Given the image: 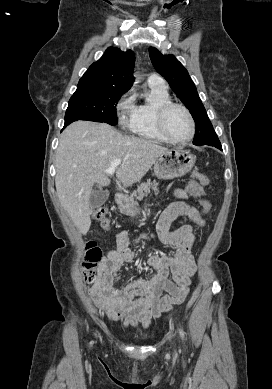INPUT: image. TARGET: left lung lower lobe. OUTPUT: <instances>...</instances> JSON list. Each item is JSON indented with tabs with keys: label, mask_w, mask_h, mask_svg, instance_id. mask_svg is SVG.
<instances>
[{
	"label": "left lung lower lobe",
	"mask_w": 272,
	"mask_h": 389,
	"mask_svg": "<svg viewBox=\"0 0 272 389\" xmlns=\"http://www.w3.org/2000/svg\"><path fill=\"white\" fill-rule=\"evenodd\" d=\"M205 144H206V145H210V146H214V147H216V148L222 150L221 143H220V141H219L217 135L214 136L213 138H211V139H210L207 143H205Z\"/></svg>",
	"instance_id": "obj_1"
}]
</instances>
